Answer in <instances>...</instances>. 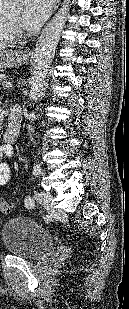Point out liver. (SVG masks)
Wrapping results in <instances>:
<instances>
[{
    "label": "liver",
    "mask_w": 129,
    "mask_h": 309,
    "mask_svg": "<svg viewBox=\"0 0 129 309\" xmlns=\"http://www.w3.org/2000/svg\"><path fill=\"white\" fill-rule=\"evenodd\" d=\"M6 45L0 44V49L6 48Z\"/></svg>",
    "instance_id": "obj_1"
}]
</instances>
